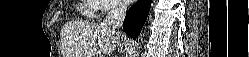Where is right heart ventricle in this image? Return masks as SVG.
<instances>
[{
	"mask_svg": "<svg viewBox=\"0 0 249 57\" xmlns=\"http://www.w3.org/2000/svg\"><path fill=\"white\" fill-rule=\"evenodd\" d=\"M97 5L96 2L94 0H85L84 1V5L81 7V11L88 17H93L96 9Z\"/></svg>",
	"mask_w": 249,
	"mask_h": 57,
	"instance_id": "1",
	"label": "right heart ventricle"
}]
</instances>
